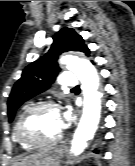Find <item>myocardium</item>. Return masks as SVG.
Masks as SVG:
<instances>
[{"label": "myocardium", "mask_w": 135, "mask_h": 166, "mask_svg": "<svg viewBox=\"0 0 135 166\" xmlns=\"http://www.w3.org/2000/svg\"><path fill=\"white\" fill-rule=\"evenodd\" d=\"M45 109H53L56 111L60 112V106L59 104L52 102V101H45V102H40L35 105H32L28 108H26L18 117L16 125H15V132H16V137L19 140L20 143L29 146V147H44V146H53L58 144L63 136L64 133L63 131L60 133L59 136L52 140H35L32 138L26 137L23 132H22V126L24 121L33 113L45 110Z\"/></svg>", "instance_id": "obj_1"}]
</instances>
